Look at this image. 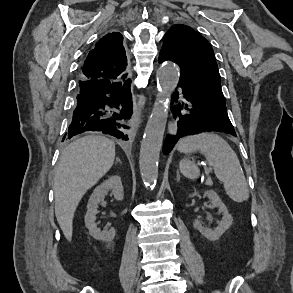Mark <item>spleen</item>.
Masks as SVG:
<instances>
[{"mask_svg": "<svg viewBox=\"0 0 293 293\" xmlns=\"http://www.w3.org/2000/svg\"><path fill=\"white\" fill-rule=\"evenodd\" d=\"M178 151L183 153L201 152L205 155L216 177L223 182L227 195L235 202L248 200L249 190L239 159L231 146L219 135L200 133L182 138ZM181 173L196 179L200 175L199 168L193 161L183 159L179 163Z\"/></svg>", "mask_w": 293, "mask_h": 293, "instance_id": "spleen-1", "label": "spleen"}]
</instances>
